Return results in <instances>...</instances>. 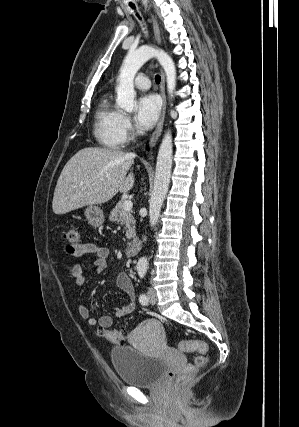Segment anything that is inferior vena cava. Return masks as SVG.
Instances as JSON below:
<instances>
[{"label": "inferior vena cava", "instance_id": "1", "mask_svg": "<svg viewBox=\"0 0 299 427\" xmlns=\"http://www.w3.org/2000/svg\"><path fill=\"white\" fill-rule=\"evenodd\" d=\"M143 241H146V237L143 238Z\"/></svg>", "mask_w": 299, "mask_h": 427}]
</instances>
